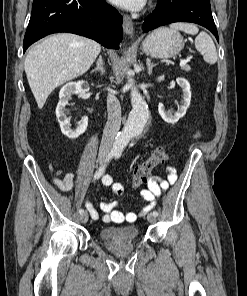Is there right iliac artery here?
Here are the masks:
<instances>
[{"label":"right iliac artery","mask_w":247,"mask_h":296,"mask_svg":"<svg viewBox=\"0 0 247 296\" xmlns=\"http://www.w3.org/2000/svg\"><path fill=\"white\" fill-rule=\"evenodd\" d=\"M115 154H116V152H114V151H111L110 153H108V155L106 156V159L104 161V164H102L98 168V170L96 171V173L94 175V179H99L105 173L107 163L115 156ZM79 213L80 214L84 213V210L80 209Z\"/></svg>","instance_id":"obj_1"}]
</instances>
